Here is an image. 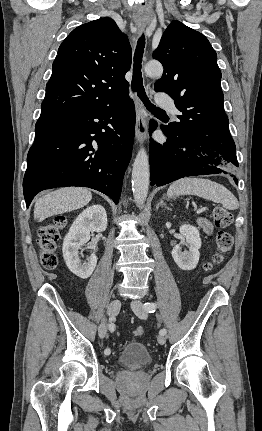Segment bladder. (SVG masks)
Returning <instances> with one entry per match:
<instances>
[{
  "label": "bladder",
  "mask_w": 262,
  "mask_h": 431,
  "mask_svg": "<svg viewBox=\"0 0 262 431\" xmlns=\"http://www.w3.org/2000/svg\"><path fill=\"white\" fill-rule=\"evenodd\" d=\"M118 363L126 369H138L151 361L149 350L141 342L133 341L124 345L117 355Z\"/></svg>",
  "instance_id": "bladder-1"
}]
</instances>
